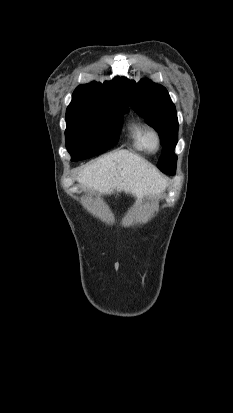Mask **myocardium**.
<instances>
[{
  "mask_svg": "<svg viewBox=\"0 0 233 413\" xmlns=\"http://www.w3.org/2000/svg\"><path fill=\"white\" fill-rule=\"evenodd\" d=\"M147 145L149 150L156 151L161 146V138L156 130L150 129L147 133Z\"/></svg>",
  "mask_w": 233,
  "mask_h": 413,
  "instance_id": "f54148a6",
  "label": "myocardium"
}]
</instances>
